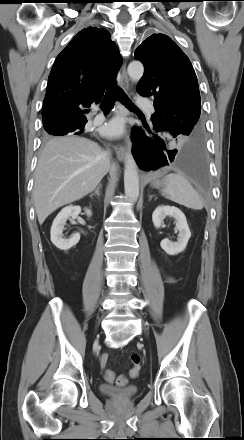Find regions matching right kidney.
<instances>
[{
	"label": "right kidney",
	"instance_id": "obj_1",
	"mask_svg": "<svg viewBox=\"0 0 244 440\" xmlns=\"http://www.w3.org/2000/svg\"><path fill=\"white\" fill-rule=\"evenodd\" d=\"M81 212L80 206H67L63 208L60 213L56 216V218L53 221L50 235H51V242L60 250L67 251L74 245H76L80 240V234L76 233L71 238L65 239L63 238V229L66 225V221L68 218L75 219L78 217V215ZM85 213L87 216H91L92 212L89 209H85Z\"/></svg>",
	"mask_w": 244,
	"mask_h": 440
}]
</instances>
